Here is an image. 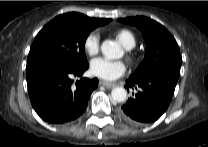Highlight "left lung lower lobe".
<instances>
[{
  "label": "left lung lower lobe",
  "mask_w": 208,
  "mask_h": 147,
  "mask_svg": "<svg viewBox=\"0 0 208 147\" xmlns=\"http://www.w3.org/2000/svg\"><path fill=\"white\" fill-rule=\"evenodd\" d=\"M177 81L178 78L164 72L130 77L125 87H139L140 90L119 109L120 117L135 125L156 121L168 108Z\"/></svg>",
  "instance_id": "0a47b994"
}]
</instances>
